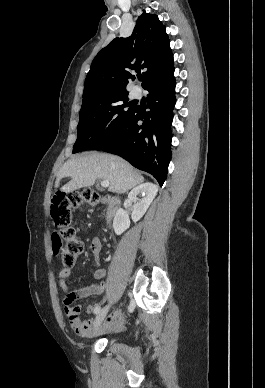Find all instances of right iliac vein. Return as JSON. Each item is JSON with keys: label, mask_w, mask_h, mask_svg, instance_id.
<instances>
[{"label": "right iliac vein", "mask_w": 265, "mask_h": 388, "mask_svg": "<svg viewBox=\"0 0 265 388\" xmlns=\"http://www.w3.org/2000/svg\"><path fill=\"white\" fill-rule=\"evenodd\" d=\"M109 309H110V306L107 305V306H105L103 309H101L99 311V313L97 314V316L95 318V323H94V329L95 330H97L99 328V326L103 322L104 318L106 317Z\"/></svg>", "instance_id": "obj_1"}]
</instances>
